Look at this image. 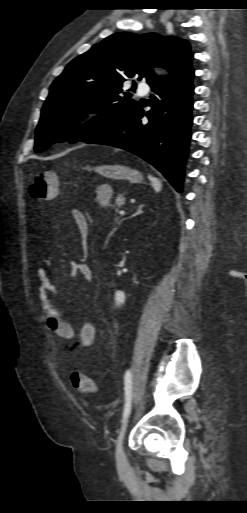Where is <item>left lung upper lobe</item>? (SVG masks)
<instances>
[{
	"mask_svg": "<svg viewBox=\"0 0 247 513\" xmlns=\"http://www.w3.org/2000/svg\"><path fill=\"white\" fill-rule=\"evenodd\" d=\"M191 57L189 43L174 36L121 32L105 38L72 60L52 83L36 129L35 151L56 142H86L109 130L139 105L123 93L124 81L144 77L152 86L165 78L151 67H163L171 76ZM86 112L100 115L83 129H71Z\"/></svg>",
	"mask_w": 247,
	"mask_h": 513,
	"instance_id": "obj_1",
	"label": "left lung upper lobe"
}]
</instances>
